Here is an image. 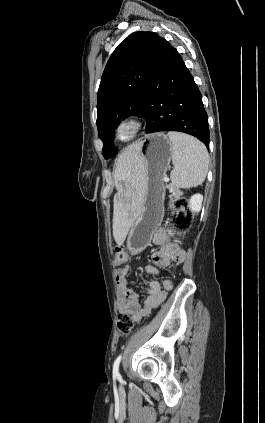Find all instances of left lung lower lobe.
<instances>
[{"mask_svg": "<svg viewBox=\"0 0 265 423\" xmlns=\"http://www.w3.org/2000/svg\"><path fill=\"white\" fill-rule=\"evenodd\" d=\"M138 115L147 121L146 133L184 132L209 146L208 116L201 93L181 56L165 39Z\"/></svg>", "mask_w": 265, "mask_h": 423, "instance_id": "left-lung-lower-lobe-1", "label": "left lung lower lobe"}]
</instances>
